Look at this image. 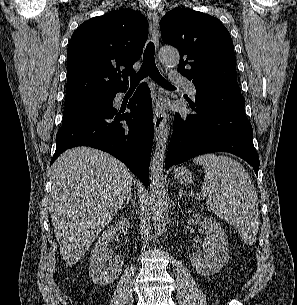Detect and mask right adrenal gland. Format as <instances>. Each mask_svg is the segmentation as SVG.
I'll list each match as a JSON object with an SVG mask.
<instances>
[{
    "mask_svg": "<svg viewBox=\"0 0 297 305\" xmlns=\"http://www.w3.org/2000/svg\"><path fill=\"white\" fill-rule=\"evenodd\" d=\"M129 202H131V204H132L133 206H135V202H134V200H133V198H132V192H131V190L129 191L128 197H127L126 201L123 203V205H122L121 208H122V209L125 208V206H126L127 204H129Z\"/></svg>",
    "mask_w": 297,
    "mask_h": 305,
    "instance_id": "obj_1",
    "label": "right adrenal gland"
}]
</instances>
